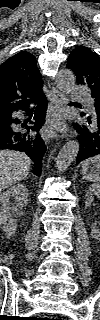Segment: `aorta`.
I'll list each match as a JSON object with an SVG mask.
<instances>
[{"label": "aorta", "instance_id": "aorta-1", "mask_svg": "<svg viewBox=\"0 0 100 320\" xmlns=\"http://www.w3.org/2000/svg\"><path fill=\"white\" fill-rule=\"evenodd\" d=\"M56 84L63 92H69L75 85V75L69 69H62L56 76ZM80 145L77 141L67 142L60 150L56 158V166L60 172H64L76 158Z\"/></svg>", "mask_w": 100, "mask_h": 320}]
</instances>
